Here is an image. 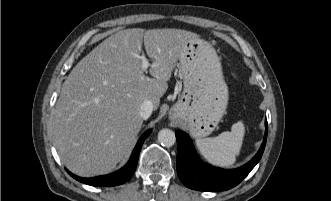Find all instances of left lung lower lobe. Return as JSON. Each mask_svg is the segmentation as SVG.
Wrapping results in <instances>:
<instances>
[{"mask_svg": "<svg viewBox=\"0 0 331 201\" xmlns=\"http://www.w3.org/2000/svg\"><path fill=\"white\" fill-rule=\"evenodd\" d=\"M263 143L255 157L244 166L234 170L215 168L203 163L194 150L187 134L175 133L177 139V173L188 188L198 191H222L238 185L259 162L267 139V121Z\"/></svg>", "mask_w": 331, "mask_h": 201, "instance_id": "1", "label": "left lung lower lobe"}]
</instances>
